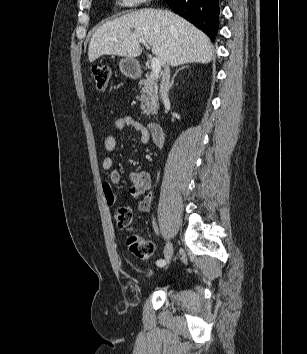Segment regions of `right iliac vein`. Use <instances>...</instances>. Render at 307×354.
<instances>
[{
  "label": "right iliac vein",
  "mask_w": 307,
  "mask_h": 354,
  "mask_svg": "<svg viewBox=\"0 0 307 354\" xmlns=\"http://www.w3.org/2000/svg\"><path fill=\"white\" fill-rule=\"evenodd\" d=\"M173 255V245L171 242H168L166 247H165V252H164V257H165V262L169 263Z\"/></svg>",
  "instance_id": "1"
}]
</instances>
